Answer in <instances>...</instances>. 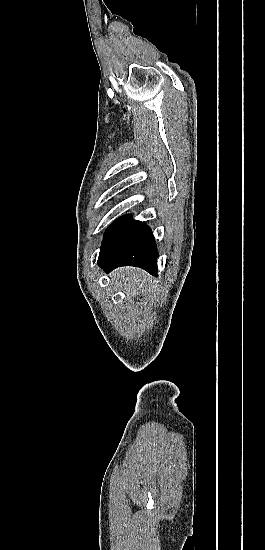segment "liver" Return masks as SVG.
I'll use <instances>...</instances> for the list:
<instances>
[{
	"label": "liver",
	"instance_id": "obj_1",
	"mask_svg": "<svg viewBox=\"0 0 265 550\" xmlns=\"http://www.w3.org/2000/svg\"><path fill=\"white\" fill-rule=\"evenodd\" d=\"M113 276L116 281L124 283L133 292L143 290L147 281L145 273L137 268H120L113 273Z\"/></svg>",
	"mask_w": 265,
	"mask_h": 550
}]
</instances>
